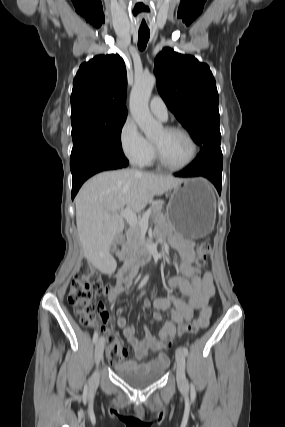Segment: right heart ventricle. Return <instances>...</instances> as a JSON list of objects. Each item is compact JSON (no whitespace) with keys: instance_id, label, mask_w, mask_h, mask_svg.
<instances>
[{"instance_id":"e07e8e85","label":"right heart ventricle","mask_w":285,"mask_h":427,"mask_svg":"<svg viewBox=\"0 0 285 427\" xmlns=\"http://www.w3.org/2000/svg\"><path fill=\"white\" fill-rule=\"evenodd\" d=\"M155 156H154V150L152 152V154L150 155V157L146 160V162L143 165H150L154 162Z\"/></svg>"}]
</instances>
